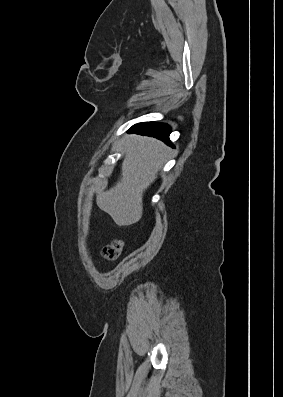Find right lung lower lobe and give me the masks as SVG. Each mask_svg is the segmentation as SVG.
I'll return each instance as SVG.
<instances>
[{"instance_id": "right-lung-lower-lobe-1", "label": "right lung lower lobe", "mask_w": 283, "mask_h": 397, "mask_svg": "<svg viewBox=\"0 0 283 397\" xmlns=\"http://www.w3.org/2000/svg\"><path fill=\"white\" fill-rule=\"evenodd\" d=\"M129 132L137 133L141 135L153 136L155 138L161 139L162 141L166 142L168 145H171L169 141V134L171 133V128L163 123H156V122L138 123L132 126L129 129ZM171 146L173 147V145Z\"/></svg>"}]
</instances>
